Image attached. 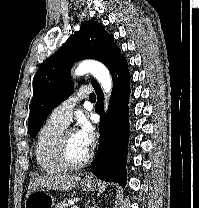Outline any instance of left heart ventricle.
<instances>
[{"label": "left heart ventricle", "instance_id": "left-heart-ventricle-1", "mask_svg": "<svg viewBox=\"0 0 199 208\" xmlns=\"http://www.w3.org/2000/svg\"><path fill=\"white\" fill-rule=\"evenodd\" d=\"M89 152V148H86L79 140L76 132H72L68 136L67 140V156L71 162H79L83 160Z\"/></svg>", "mask_w": 199, "mask_h": 208}]
</instances>
